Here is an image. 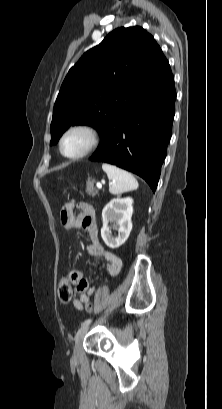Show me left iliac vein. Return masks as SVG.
<instances>
[{
	"label": "left iliac vein",
	"mask_w": 222,
	"mask_h": 409,
	"mask_svg": "<svg viewBox=\"0 0 222 409\" xmlns=\"http://www.w3.org/2000/svg\"><path fill=\"white\" fill-rule=\"evenodd\" d=\"M88 330H89V325H85V326H82L76 334V338H75V341H76L75 356L76 357L80 354V346Z\"/></svg>",
	"instance_id": "1"
}]
</instances>
